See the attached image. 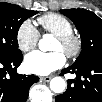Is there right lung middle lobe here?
<instances>
[{"instance_id": "1", "label": "right lung middle lobe", "mask_w": 102, "mask_h": 102, "mask_svg": "<svg viewBox=\"0 0 102 102\" xmlns=\"http://www.w3.org/2000/svg\"><path fill=\"white\" fill-rule=\"evenodd\" d=\"M36 13L18 5L0 3V57H12L21 53L17 42L19 27Z\"/></svg>"}]
</instances>
